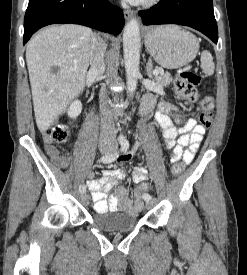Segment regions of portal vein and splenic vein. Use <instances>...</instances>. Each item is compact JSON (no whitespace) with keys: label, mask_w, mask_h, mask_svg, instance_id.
<instances>
[{"label":"portal vein and splenic vein","mask_w":247,"mask_h":275,"mask_svg":"<svg viewBox=\"0 0 247 275\" xmlns=\"http://www.w3.org/2000/svg\"><path fill=\"white\" fill-rule=\"evenodd\" d=\"M159 73H160V71H159L158 69H155V70L153 71V74H154L155 76L159 75Z\"/></svg>","instance_id":"18ae733b"}]
</instances>
